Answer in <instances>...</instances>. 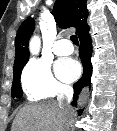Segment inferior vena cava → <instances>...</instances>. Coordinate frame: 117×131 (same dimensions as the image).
<instances>
[{
  "mask_svg": "<svg viewBox=\"0 0 117 131\" xmlns=\"http://www.w3.org/2000/svg\"><path fill=\"white\" fill-rule=\"evenodd\" d=\"M72 98H73V88L69 85L60 86L58 90L57 101L58 104L65 109L70 119H72L74 115V111L70 105Z\"/></svg>",
  "mask_w": 117,
  "mask_h": 131,
  "instance_id": "602c4592",
  "label": "inferior vena cava"
}]
</instances>
